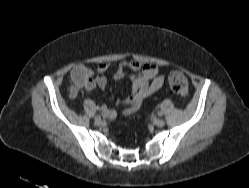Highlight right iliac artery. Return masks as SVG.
Instances as JSON below:
<instances>
[{"instance_id":"82829eb1","label":"right iliac artery","mask_w":249,"mask_h":188,"mask_svg":"<svg viewBox=\"0 0 249 188\" xmlns=\"http://www.w3.org/2000/svg\"><path fill=\"white\" fill-rule=\"evenodd\" d=\"M101 119L100 115L95 116V120Z\"/></svg>"}]
</instances>
